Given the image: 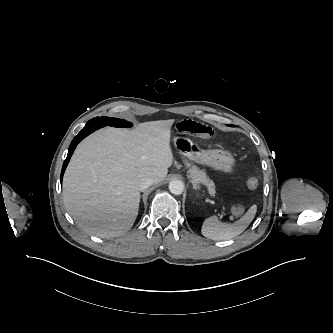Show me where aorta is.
I'll return each instance as SVG.
<instances>
[{"mask_svg": "<svg viewBox=\"0 0 333 333\" xmlns=\"http://www.w3.org/2000/svg\"><path fill=\"white\" fill-rule=\"evenodd\" d=\"M169 190L174 195H180L184 190V184L180 180H172L169 183Z\"/></svg>", "mask_w": 333, "mask_h": 333, "instance_id": "762f6f07", "label": "aorta"}]
</instances>
